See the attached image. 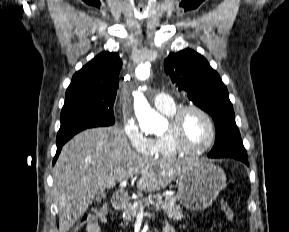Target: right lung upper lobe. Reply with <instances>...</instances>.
Wrapping results in <instances>:
<instances>
[{
    "mask_svg": "<svg viewBox=\"0 0 289 232\" xmlns=\"http://www.w3.org/2000/svg\"><path fill=\"white\" fill-rule=\"evenodd\" d=\"M121 66L117 53H100L74 74L65 101L78 97H116Z\"/></svg>",
    "mask_w": 289,
    "mask_h": 232,
    "instance_id": "1",
    "label": "right lung upper lobe"
}]
</instances>
